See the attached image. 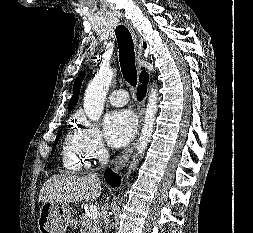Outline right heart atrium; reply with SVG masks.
<instances>
[{
	"label": "right heart atrium",
	"mask_w": 253,
	"mask_h": 233,
	"mask_svg": "<svg viewBox=\"0 0 253 233\" xmlns=\"http://www.w3.org/2000/svg\"><path fill=\"white\" fill-rule=\"evenodd\" d=\"M78 131L82 135L91 158L101 160L107 148L98 126L83 117L78 118Z\"/></svg>",
	"instance_id": "d8ad5b80"
}]
</instances>
